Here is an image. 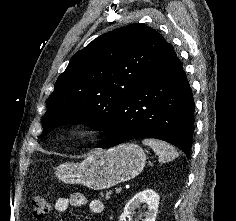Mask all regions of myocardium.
<instances>
[{
    "label": "myocardium",
    "instance_id": "obj_1",
    "mask_svg": "<svg viewBox=\"0 0 236 221\" xmlns=\"http://www.w3.org/2000/svg\"><path fill=\"white\" fill-rule=\"evenodd\" d=\"M91 132V128L87 125H77L72 128L71 135L73 137H83Z\"/></svg>",
    "mask_w": 236,
    "mask_h": 221
}]
</instances>
